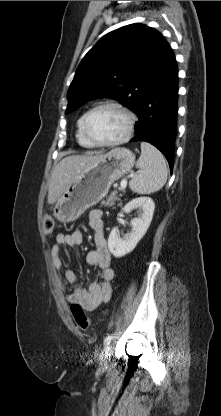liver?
I'll return each mask as SVG.
<instances>
[{"label": "liver", "mask_w": 221, "mask_h": 416, "mask_svg": "<svg viewBox=\"0 0 221 416\" xmlns=\"http://www.w3.org/2000/svg\"><path fill=\"white\" fill-rule=\"evenodd\" d=\"M103 155H71L63 158L53 169L49 182L48 203L54 204L67 190L75 177L99 161Z\"/></svg>", "instance_id": "1"}]
</instances>
